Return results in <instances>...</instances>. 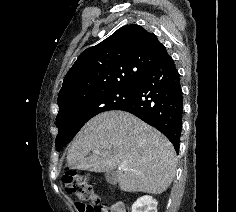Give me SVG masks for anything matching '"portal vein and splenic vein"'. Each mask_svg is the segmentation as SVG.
<instances>
[{
  "mask_svg": "<svg viewBox=\"0 0 236 212\" xmlns=\"http://www.w3.org/2000/svg\"><path fill=\"white\" fill-rule=\"evenodd\" d=\"M119 170L127 171L128 167L126 165L122 164V165L119 166Z\"/></svg>",
  "mask_w": 236,
  "mask_h": 212,
  "instance_id": "portal-vein-and-splenic-vein-1",
  "label": "portal vein and splenic vein"
}]
</instances>
